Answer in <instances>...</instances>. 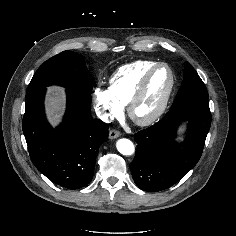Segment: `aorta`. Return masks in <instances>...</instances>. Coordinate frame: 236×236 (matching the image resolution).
Listing matches in <instances>:
<instances>
[{
  "label": "aorta",
  "mask_w": 236,
  "mask_h": 236,
  "mask_svg": "<svg viewBox=\"0 0 236 236\" xmlns=\"http://www.w3.org/2000/svg\"><path fill=\"white\" fill-rule=\"evenodd\" d=\"M117 150L126 156L132 155L135 151L134 144L126 138L119 139L116 143Z\"/></svg>",
  "instance_id": "762f6f07"
}]
</instances>
